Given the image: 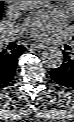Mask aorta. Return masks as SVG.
I'll use <instances>...</instances> for the list:
<instances>
[{"label": "aorta", "mask_w": 74, "mask_h": 122, "mask_svg": "<svg viewBox=\"0 0 74 122\" xmlns=\"http://www.w3.org/2000/svg\"><path fill=\"white\" fill-rule=\"evenodd\" d=\"M47 3L48 1H18L19 7L23 10H35ZM41 59L48 68H58L63 63V54L57 47H48L42 52Z\"/></svg>", "instance_id": "aorta-1"}]
</instances>
